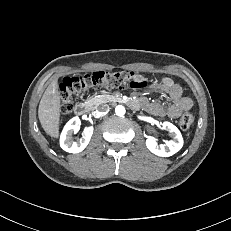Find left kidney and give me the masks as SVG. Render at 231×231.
I'll return each instance as SVG.
<instances>
[{
  "label": "left kidney",
  "mask_w": 231,
  "mask_h": 231,
  "mask_svg": "<svg viewBox=\"0 0 231 231\" xmlns=\"http://www.w3.org/2000/svg\"><path fill=\"white\" fill-rule=\"evenodd\" d=\"M162 129L170 133L172 141L165 144H158L155 138L149 137L146 140V146L150 152L157 156L169 157L177 153L182 148L183 138L178 128L170 122H163Z\"/></svg>",
  "instance_id": "1"
}]
</instances>
